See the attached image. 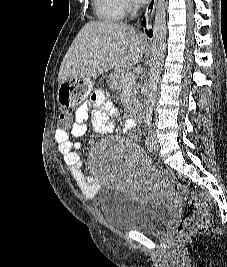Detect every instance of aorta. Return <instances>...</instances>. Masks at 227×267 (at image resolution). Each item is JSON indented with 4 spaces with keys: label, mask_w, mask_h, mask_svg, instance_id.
I'll use <instances>...</instances> for the list:
<instances>
[{
    "label": "aorta",
    "mask_w": 227,
    "mask_h": 267,
    "mask_svg": "<svg viewBox=\"0 0 227 267\" xmlns=\"http://www.w3.org/2000/svg\"><path fill=\"white\" fill-rule=\"evenodd\" d=\"M166 4L165 0H158L153 24V52L152 66L146 93L145 123H151L153 107L156 102L158 82L163 66L166 48Z\"/></svg>",
    "instance_id": "762f6f07"
}]
</instances>
